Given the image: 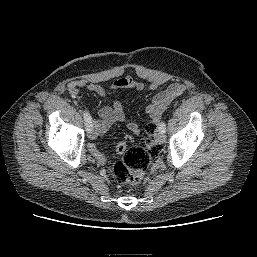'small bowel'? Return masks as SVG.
<instances>
[{"mask_svg":"<svg viewBox=\"0 0 257 257\" xmlns=\"http://www.w3.org/2000/svg\"><path fill=\"white\" fill-rule=\"evenodd\" d=\"M164 83L163 79L157 78L148 84V89L157 90ZM145 88L143 82L131 76H124L116 79L110 86L112 90L134 89L141 91ZM83 90L91 91L103 98L107 97V90L98 83L77 80L69 83L68 91L70 95L81 102H85ZM185 90L184 84L174 82L165 90L157 93L151 103L146 108V114L154 121H158L165 108ZM97 136L104 135L115 123H122L134 134L140 133L139 125L133 121L124 111L123 105L119 100L112 101L98 112V116L93 119Z\"/></svg>","mask_w":257,"mask_h":257,"instance_id":"c3829d8e","label":"small bowel"}]
</instances>
